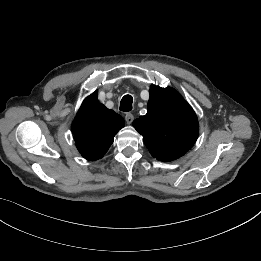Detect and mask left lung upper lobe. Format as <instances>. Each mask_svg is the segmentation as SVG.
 <instances>
[{"instance_id":"obj_1","label":"left lung upper lobe","mask_w":261,"mask_h":261,"mask_svg":"<svg viewBox=\"0 0 261 261\" xmlns=\"http://www.w3.org/2000/svg\"><path fill=\"white\" fill-rule=\"evenodd\" d=\"M150 153L160 161L183 156L196 142L199 125L191 106L172 88L153 87L147 114L134 120Z\"/></svg>"}]
</instances>
